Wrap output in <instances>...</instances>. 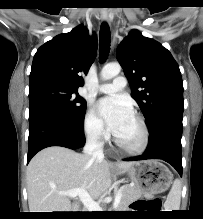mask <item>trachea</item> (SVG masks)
I'll return each instance as SVG.
<instances>
[{"label": "trachea", "mask_w": 203, "mask_h": 219, "mask_svg": "<svg viewBox=\"0 0 203 219\" xmlns=\"http://www.w3.org/2000/svg\"><path fill=\"white\" fill-rule=\"evenodd\" d=\"M110 29L107 23H103L99 33L100 59L104 61L110 50Z\"/></svg>", "instance_id": "obj_1"}]
</instances>
